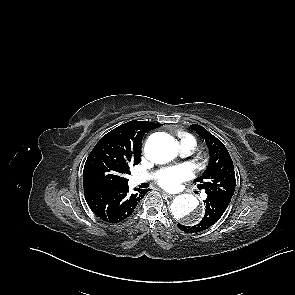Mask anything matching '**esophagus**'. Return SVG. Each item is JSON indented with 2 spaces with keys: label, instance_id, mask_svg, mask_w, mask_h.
Wrapping results in <instances>:
<instances>
[{
  "label": "esophagus",
  "instance_id": "esophagus-1",
  "mask_svg": "<svg viewBox=\"0 0 295 295\" xmlns=\"http://www.w3.org/2000/svg\"><path fill=\"white\" fill-rule=\"evenodd\" d=\"M162 195L165 196V197H167V198H173V197H175L174 194H169V193L164 192V191L162 192Z\"/></svg>",
  "mask_w": 295,
  "mask_h": 295
}]
</instances>
